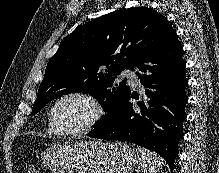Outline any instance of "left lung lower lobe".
<instances>
[{
    "mask_svg": "<svg viewBox=\"0 0 219 173\" xmlns=\"http://www.w3.org/2000/svg\"><path fill=\"white\" fill-rule=\"evenodd\" d=\"M182 52L183 47L173 31L142 55L135 67L148 99L134 105L129 102L134 97L130 91L115 107L111 117L88 135L127 141L153 150L173 171L178 142L183 137L184 107L188 101Z\"/></svg>",
    "mask_w": 219,
    "mask_h": 173,
    "instance_id": "obj_1",
    "label": "left lung lower lobe"
}]
</instances>
